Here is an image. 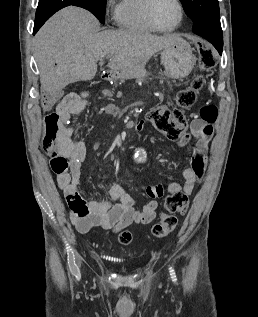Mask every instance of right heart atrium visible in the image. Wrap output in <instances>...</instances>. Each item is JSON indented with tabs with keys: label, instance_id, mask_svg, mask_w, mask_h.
Wrapping results in <instances>:
<instances>
[{
	"label": "right heart atrium",
	"instance_id": "1",
	"mask_svg": "<svg viewBox=\"0 0 258 317\" xmlns=\"http://www.w3.org/2000/svg\"><path fill=\"white\" fill-rule=\"evenodd\" d=\"M115 10V9H114ZM114 10L112 11V16H113V18H114Z\"/></svg>",
	"mask_w": 258,
	"mask_h": 317
}]
</instances>
